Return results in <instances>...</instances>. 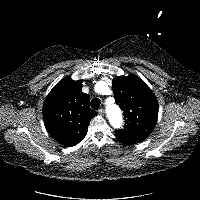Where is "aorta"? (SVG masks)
Segmentation results:
<instances>
[{"label":"aorta","instance_id":"1","mask_svg":"<svg viewBox=\"0 0 200 200\" xmlns=\"http://www.w3.org/2000/svg\"><path fill=\"white\" fill-rule=\"evenodd\" d=\"M108 117L111 121L121 120L120 109L116 105H111L107 108Z\"/></svg>","mask_w":200,"mask_h":200}]
</instances>
